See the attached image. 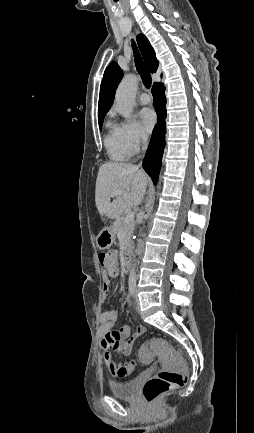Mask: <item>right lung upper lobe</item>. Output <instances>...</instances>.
Masks as SVG:
<instances>
[{
  "instance_id": "cb5924a9",
  "label": "right lung upper lobe",
  "mask_w": 254,
  "mask_h": 433,
  "mask_svg": "<svg viewBox=\"0 0 254 433\" xmlns=\"http://www.w3.org/2000/svg\"><path fill=\"white\" fill-rule=\"evenodd\" d=\"M137 42L147 68L151 73L156 72L158 68V60L156 59L155 52L150 45L148 39L143 34H139L137 36ZM122 76V70L116 62H111L107 66L100 86L98 103L99 121H103L105 114L109 111L114 101L115 90Z\"/></svg>"
}]
</instances>
